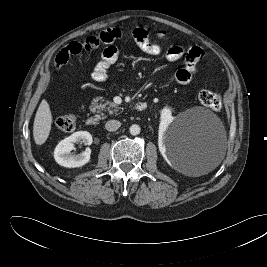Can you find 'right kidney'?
Instances as JSON below:
<instances>
[{"instance_id": "1", "label": "right kidney", "mask_w": 267, "mask_h": 267, "mask_svg": "<svg viewBox=\"0 0 267 267\" xmlns=\"http://www.w3.org/2000/svg\"><path fill=\"white\" fill-rule=\"evenodd\" d=\"M92 136L87 131H78L60 141L54 150L55 161L66 168L81 167L90 161V148L78 155H72L70 152L74 150V143L82 142L85 145L92 144Z\"/></svg>"}]
</instances>
